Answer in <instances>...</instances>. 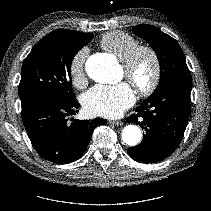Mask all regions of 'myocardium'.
<instances>
[{"mask_svg": "<svg viewBox=\"0 0 211 211\" xmlns=\"http://www.w3.org/2000/svg\"><path fill=\"white\" fill-rule=\"evenodd\" d=\"M148 55L152 61V74L146 84H140L134 77L138 61ZM125 77L135 86L141 96L151 95L158 87L162 76V64L156 49L150 45H138L123 61Z\"/></svg>", "mask_w": 211, "mask_h": 211, "instance_id": "myocardium-1", "label": "myocardium"}]
</instances>
